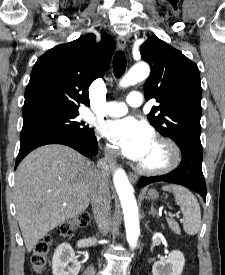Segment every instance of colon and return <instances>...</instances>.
I'll use <instances>...</instances> for the list:
<instances>
[{
	"mask_svg": "<svg viewBox=\"0 0 225 275\" xmlns=\"http://www.w3.org/2000/svg\"><path fill=\"white\" fill-rule=\"evenodd\" d=\"M89 219V214L82 212L78 214L72 221L62 224L58 229V234L61 236L69 235L74 230L86 226L89 222ZM52 239V236L46 235L37 242L34 252L31 256V263L35 271H41L47 265Z\"/></svg>",
	"mask_w": 225,
	"mask_h": 275,
	"instance_id": "1",
	"label": "colon"
}]
</instances>
